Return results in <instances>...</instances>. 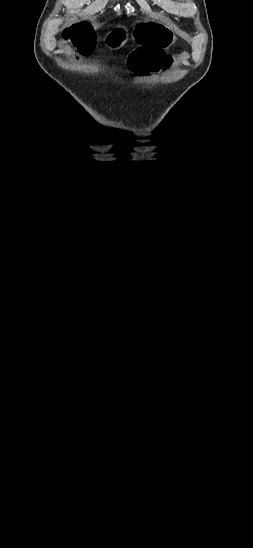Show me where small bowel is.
Wrapping results in <instances>:
<instances>
[{
	"mask_svg": "<svg viewBox=\"0 0 253 548\" xmlns=\"http://www.w3.org/2000/svg\"><path fill=\"white\" fill-rule=\"evenodd\" d=\"M161 61H162V63H164V60H163V59H162Z\"/></svg>",
	"mask_w": 253,
	"mask_h": 548,
	"instance_id": "small-bowel-1",
	"label": "small bowel"
}]
</instances>
